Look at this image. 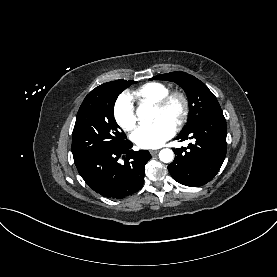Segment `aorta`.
<instances>
[{"label": "aorta", "mask_w": 277, "mask_h": 277, "mask_svg": "<svg viewBox=\"0 0 277 277\" xmlns=\"http://www.w3.org/2000/svg\"><path fill=\"white\" fill-rule=\"evenodd\" d=\"M137 116L138 118L145 123H152V120L154 118L153 109L149 105L141 104L137 108ZM159 158L164 163L172 162L174 159V153L171 149L165 148L162 149L159 153Z\"/></svg>", "instance_id": "aorta-1"}]
</instances>
